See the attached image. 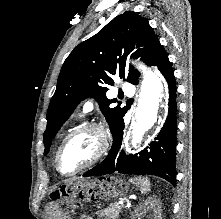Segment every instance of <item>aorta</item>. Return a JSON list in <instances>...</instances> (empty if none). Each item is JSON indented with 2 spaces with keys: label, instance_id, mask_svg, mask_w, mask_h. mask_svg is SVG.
I'll return each instance as SVG.
<instances>
[{
  "label": "aorta",
  "instance_id": "aorta-1",
  "mask_svg": "<svg viewBox=\"0 0 221 219\" xmlns=\"http://www.w3.org/2000/svg\"><path fill=\"white\" fill-rule=\"evenodd\" d=\"M136 66L143 75V82L135 121L132 124L131 143L133 147H137L141 143L145 132L156 123L166 93L165 84L157 74L142 63H138Z\"/></svg>",
  "mask_w": 221,
  "mask_h": 219
}]
</instances>
